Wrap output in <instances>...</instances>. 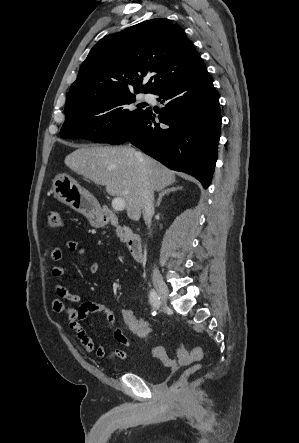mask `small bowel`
Masks as SVG:
<instances>
[{"label": "small bowel", "instance_id": "c3829d8e", "mask_svg": "<svg viewBox=\"0 0 299 443\" xmlns=\"http://www.w3.org/2000/svg\"><path fill=\"white\" fill-rule=\"evenodd\" d=\"M65 248L69 252H77L84 255L85 250L79 245L77 241H67ZM50 257L53 261H60L63 257V249L60 247L54 248L51 251ZM99 269L97 262H92L89 265L91 273H97ZM67 273V268L60 264H55L52 268V275L55 278H61ZM56 298L52 301V309L57 313H65L70 329L76 332L77 338L86 352L94 353L99 358H106L110 362L120 361L127 358V352L123 349H116L107 352L101 345H95L92 338L86 333L82 326V322L89 314L102 313L105 316L107 327L113 338L124 346L129 345V340L123 331L116 324V317L114 312L107 306L93 302L86 301L80 304L78 308L68 307L67 303L77 304L81 302V296L78 293H72L61 283H56L54 286Z\"/></svg>", "mask_w": 299, "mask_h": 443}]
</instances>
